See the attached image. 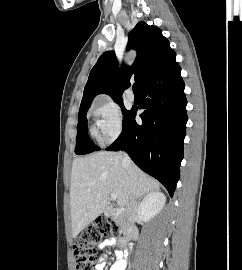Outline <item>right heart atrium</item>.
<instances>
[{"instance_id": "1", "label": "right heart atrium", "mask_w": 242, "mask_h": 270, "mask_svg": "<svg viewBox=\"0 0 242 270\" xmlns=\"http://www.w3.org/2000/svg\"><path fill=\"white\" fill-rule=\"evenodd\" d=\"M97 136L103 143H111L123 130V115L118 104L107 96L101 97L93 106Z\"/></svg>"}]
</instances>
